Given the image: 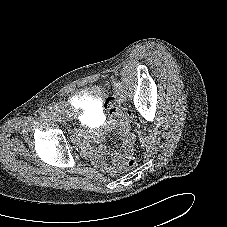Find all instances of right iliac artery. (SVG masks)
Wrapping results in <instances>:
<instances>
[{
    "mask_svg": "<svg viewBox=\"0 0 227 227\" xmlns=\"http://www.w3.org/2000/svg\"><path fill=\"white\" fill-rule=\"evenodd\" d=\"M41 116H42L43 118H48V117H49V114L46 113V112H43V113L41 114Z\"/></svg>",
    "mask_w": 227,
    "mask_h": 227,
    "instance_id": "1",
    "label": "right iliac artery"
}]
</instances>
